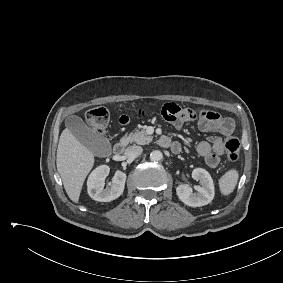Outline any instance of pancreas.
Here are the masks:
<instances>
[{
    "label": "pancreas",
    "instance_id": "pancreas-1",
    "mask_svg": "<svg viewBox=\"0 0 283 283\" xmlns=\"http://www.w3.org/2000/svg\"><path fill=\"white\" fill-rule=\"evenodd\" d=\"M153 137L149 136L144 130L130 133L121 139V144L128 145L129 143H136L139 145H146L152 141Z\"/></svg>",
    "mask_w": 283,
    "mask_h": 283
}]
</instances>
